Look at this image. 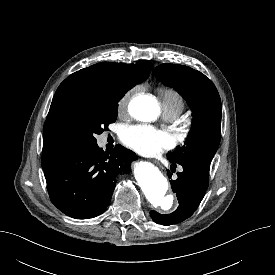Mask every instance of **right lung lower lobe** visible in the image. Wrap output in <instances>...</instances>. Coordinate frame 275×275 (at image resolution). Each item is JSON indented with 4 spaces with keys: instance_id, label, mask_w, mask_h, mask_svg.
I'll return each instance as SVG.
<instances>
[{
    "instance_id": "98d812e1",
    "label": "right lung lower lobe",
    "mask_w": 275,
    "mask_h": 275,
    "mask_svg": "<svg viewBox=\"0 0 275 275\" xmlns=\"http://www.w3.org/2000/svg\"><path fill=\"white\" fill-rule=\"evenodd\" d=\"M134 152L117 145L110 155L96 145L77 149L44 170L52 203L66 215L89 219L107 208L116 184V176L128 174Z\"/></svg>"
}]
</instances>
